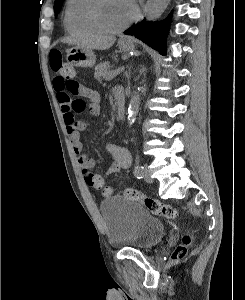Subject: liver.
<instances>
[{
	"label": "liver",
	"instance_id": "obj_1",
	"mask_svg": "<svg viewBox=\"0 0 245 300\" xmlns=\"http://www.w3.org/2000/svg\"><path fill=\"white\" fill-rule=\"evenodd\" d=\"M116 38L112 36H84V37H68L63 41L69 44H75L77 47L96 50H107L115 42Z\"/></svg>",
	"mask_w": 245,
	"mask_h": 300
}]
</instances>
